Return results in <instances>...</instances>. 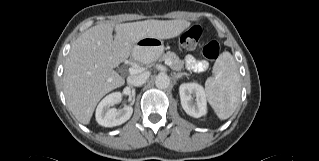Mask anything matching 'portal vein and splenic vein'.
<instances>
[{
  "mask_svg": "<svg viewBox=\"0 0 319 161\" xmlns=\"http://www.w3.org/2000/svg\"><path fill=\"white\" fill-rule=\"evenodd\" d=\"M165 64L168 65V66H170V65H171V62H170L169 60H165ZM139 71H140V69L135 68V67H130V68H129L130 74H136V73H138Z\"/></svg>",
  "mask_w": 319,
  "mask_h": 161,
  "instance_id": "portal-vein-and-splenic-vein-1",
  "label": "portal vein and splenic vein"
}]
</instances>
